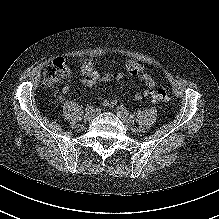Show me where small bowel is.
Returning a JSON list of instances; mask_svg holds the SVG:
<instances>
[{
  "instance_id": "obj_1",
  "label": "small bowel",
  "mask_w": 219,
  "mask_h": 219,
  "mask_svg": "<svg viewBox=\"0 0 219 219\" xmlns=\"http://www.w3.org/2000/svg\"><path fill=\"white\" fill-rule=\"evenodd\" d=\"M126 68L129 75L139 79L145 85L144 91L142 93L136 94V99L141 100L142 98L150 95L155 87V81L151 75L141 72L143 68L142 64L137 61H129L126 65ZM80 76V83L88 87L94 86L100 81L108 82L114 78L121 80L124 77L122 73L117 74L115 77L110 74H100L95 70L94 64L91 60H87L82 63ZM61 92L63 95L68 94L70 92V87L64 86ZM114 104V101H104V105L107 107H112Z\"/></svg>"
}]
</instances>
